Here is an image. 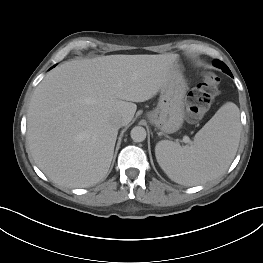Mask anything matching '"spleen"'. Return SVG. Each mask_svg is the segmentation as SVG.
Masks as SVG:
<instances>
[{"label": "spleen", "instance_id": "3e777b00", "mask_svg": "<svg viewBox=\"0 0 263 263\" xmlns=\"http://www.w3.org/2000/svg\"><path fill=\"white\" fill-rule=\"evenodd\" d=\"M239 108L224 104L199 130L190 146L170 140L156 144L157 162L174 182L193 186L222 175L234 159L240 140Z\"/></svg>", "mask_w": 263, "mask_h": 263}]
</instances>
